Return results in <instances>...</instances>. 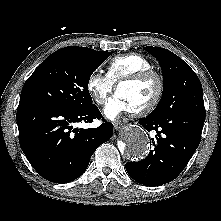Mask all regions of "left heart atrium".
I'll use <instances>...</instances> for the list:
<instances>
[{"label": "left heart atrium", "mask_w": 221, "mask_h": 221, "mask_svg": "<svg viewBox=\"0 0 221 221\" xmlns=\"http://www.w3.org/2000/svg\"><path fill=\"white\" fill-rule=\"evenodd\" d=\"M133 111L126 100L118 93L110 98L104 108V114L109 119H116L121 114Z\"/></svg>", "instance_id": "left-heart-atrium-1"}]
</instances>
